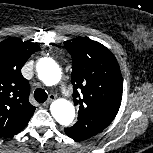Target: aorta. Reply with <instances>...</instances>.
<instances>
[{"mask_svg":"<svg viewBox=\"0 0 153 153\" xmlns=\"http://www.w3.org/2000/svg\"><path fill=\"white\" fill-rule=\"evenodd\" d=\"M36 70L39 79L46 85L57 84L61 79V69L58 64L50 58H42L37 62ZM54 119L63 126L72 123L75 117L73 104L66 99H57L50 106Z\"/></svg>","mask_w":153,"mask_h":153,"instance_id":"1","label":"aorta"}]
</instances>
